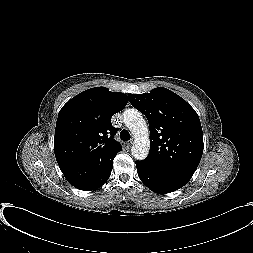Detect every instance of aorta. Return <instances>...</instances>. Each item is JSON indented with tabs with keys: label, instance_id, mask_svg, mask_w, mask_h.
Returning a JSON list of instances; mask_svg holds the SVG:
<instances>
[{
	"label": "aorta",
	"instance_id": "1",
	"mask_svg": "<svg viewBox=\"0 0 253 253\" xmlns=\"http://www.w3.org/2000/svg\"><path fill=\"white\" fill-rule=\"evenodd\" d=\"M123 122L135 140L131 149L132 156L137 160H144L150 147L149 130L143 115L136 109H126L123 113Z\"/></svg>",
	"mask_w": 253,
	"mask_h": 253
}]
</instances>
